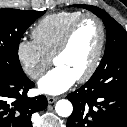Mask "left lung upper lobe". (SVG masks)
Masks as SVG:
<instances>
[{"instance_id":"5c2ea615","label":"left lung upper lobe","mask_w":127,"mask_h":127,"mask_svg":"<svg viewBox=\"0 0 127 127\" xmlns=\"http://www.w3.org/2000/svg\"><path fill=\"white\" fill-rule=\"evenodd\" d=\"M90 10L103 19L107 31L105 54L96 71L105 68L110 62L120 57H127V32L104 10L91 5H74Z\"/></svg>"}]
</instances>
